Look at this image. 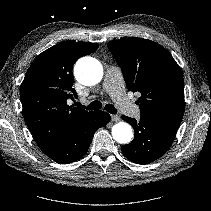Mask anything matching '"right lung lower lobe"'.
<instances>
[{
  "instance_id": "98d812e1",
  "label": "right lung lower lobe",
  "mask_w": 211,
  "mask_h": 211,
  "mask_svg": "<svg viewBox=\"0 0 211 211\" xmlns=\"http://www.w3.org/2000/svg\"><path fill=\"white\" fill-rule=\"evenodd\" d=\"M110 121V115L104 111H94L80 119L70 129L61 142L45 152L52 160L61 163H72L81 158L88 150L94 133Z\"/></svg>"
}]
</instances>
